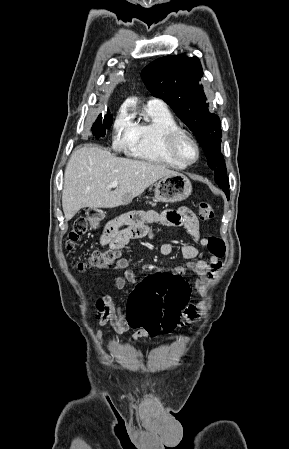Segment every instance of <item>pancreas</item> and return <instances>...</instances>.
<instances>
[{
    "label": "pancreas",
    "instance_id": "pancreas-1",
    "mask_svg": "<svg viewBox=\"0 0 289 449\" xmlns=\"http://www.w3.org/2000/svg\"><path fill=\"white\" fill-rule=\"evenodd\" d=\"M150 204H152V206H154L155 204L154 203H152V202H149Z\"/></svg>",
    "mask_w": 289,
    "mask_h": 449
}]
</instances>
